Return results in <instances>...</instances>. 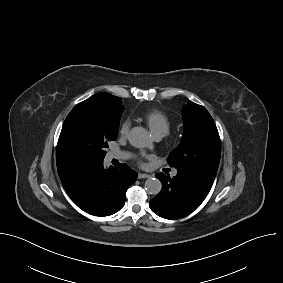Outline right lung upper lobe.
Segmentation results:
<instances>
[{
  "label": "right lung upper lobe",
  "instance_id": "1",
  "mask_svg": "<svg viewBox=\"0 0 283 283\" xmlns=\"http://www.w3.org/2000/svg\"><path fill=\"white\" fill-rule=\"evenodd\" d=\"M70 170V168H62V169H58V174L59 176H63L64 174H66L68 171Z\"/></svg>",
  "mask_w": 283,
  "mask_h": 283
}]
</instances>
